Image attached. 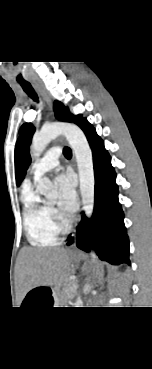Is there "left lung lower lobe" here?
I'll use <instances>...</instances> for the list:
<instances>
[{"instance_id": "0a47b994", "label": "left lung lower lobe", "mask_w": 152, "mask_h": 369, "mask_svg": "<svg viewBox=\"0 0 152 369\" xmlns=\"http://www.w3.org/2000/svg\"><path fill=\"white\" fill-rule=\"evenodd\" d=\"M79 126L84 131L92 149L95 204L91 224L83 214L77 228L76 245L86 252L94 248L101 260L111 264L130 265L129 240L123 222L124 214L118 201L116 173L111 166V157L104 147L103 140L86 119ZM72 240L73 237H69L68 245Z\"/></svg>"}]
</instances>
